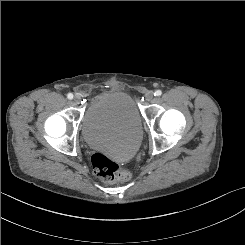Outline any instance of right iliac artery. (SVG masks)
Listing matches in <instances>:
<instances>
[{
	"mask_svg": "<svg viewBox=\"0 0 245 245\" xmlns=\"http://www.w3.org/2000/svg\"><path fill=\"white\" fill-rule=\"evenodd\" d=\"M67 98L70 99V100L73 99V94H72V93H69V94L67 95Z\"/></svg>",
	"mask_w": 245,
	"mask_h": 245,
	"instance_id": "right-iliac-artery-1",
	"label": "right iliac artery"
}]
</instances>
